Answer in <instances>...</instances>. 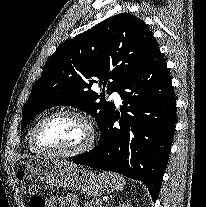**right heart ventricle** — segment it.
<instances>
[{
    "label": "right heart ventricle",
    "instance_id": "obj_1",
    "mask_svg": "<svg viewBox=\"0 0 206 207\" xmlns=\"http://www.w3.org/2000/svg\"><path fill=\"white\" fill-rule=\"evenodd\" d=\"M30 135H31V133L29 134V141H28L29 149H30L32 152H37V151L33 148L32 144H31Z\"/></svg>",
    "mask_w": 206,
    "mask_h": 207
}]
</instances>
